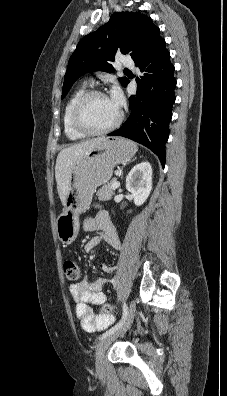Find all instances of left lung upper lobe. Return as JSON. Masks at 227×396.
Wrapping results in <instances>:
<instances>
[{
    "mask_svg": "<svg viewBox=\"0 0 227 396\" xmlns=\"http://www.w3.org/2000/svg\"><path fill=\"white\" fill-rule=\"evenodd\" d=\"M152 19L140 12H116L97 31L85 36L77 45L68 62L62 99L72 84L91 71L113 72L110 62L117 52L130 53L134 60L153 42L161 38ZM126 86L128 79H119Z\"/></svg>",
    "mask_w": 227,
    "mask_h": 396,
    "instance_id": "obj_1",
    "label": "left lung upper lobe"
}]
</instances>
